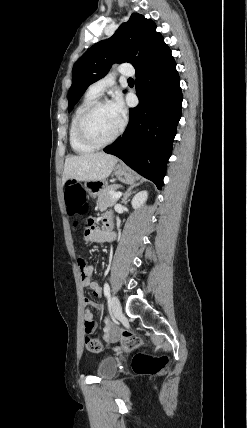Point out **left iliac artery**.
<instances>
[{
    "label": "left iliac artery",
    "instance_id": "left-iliac-artery-1",
    "mask_svg": "<svg viewBox=\"0 0 247 428\" xmlns=\"http://www.w3.org/2000/svg\"><path fill=\"white\" fill-rule=\"evenodd\" d=\"M104 295H105V297L110 296V287H109V284L107 282L104 284Z\"/></svg>",
    "mask_w": 247,
    "mask_h": 428
}]
</instances>
